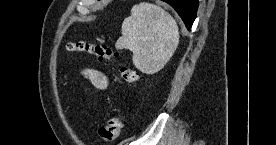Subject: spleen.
<instances>
[{"label": "spleen", "instance_id": "spleen-1", "mask_svg": "<svg viewBox=\"0 0 276 145\" xmlns=\"http://www.w3.org/2000/svg\"><path fill=\"white\" fill-rule=\"evenodd\" d=\"M179 38L177 23L168 12L142 2L133 6L131 16L123 21L122 36L115 47L132 51L136 68L143 73L154 74L171 59Z\"/></svg>", "mask_w": 276, "mask_h": 145}]
</instances>
